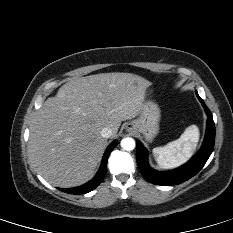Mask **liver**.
Returning <instances> with one entry per match:
<instances>
[{
	"instance_id": "6515ba94",
	"label": "liver",
	"mask_w": 233,
	"mask_h": 233,
	"mask_svg": "<svg viewBox=\"0 0 233 233\" xmlns=\"http://www.w3.org/2000/svg\"><path fill=\"white\" fill-rule=\"evenodd\" d=\"M151 83L131 73H101L65 83L37 111L29 152L38 173L50 184L70 188L94 174L107 139L121 122L139 115Z\"/></svg>"
}]
</instances>
